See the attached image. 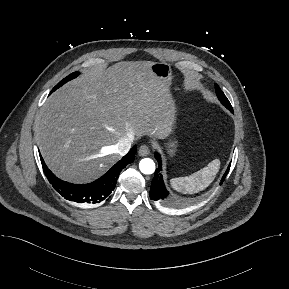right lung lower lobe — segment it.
Masks as SVG:
<instances>
[{
    "label": "right lung lower lobe",
    "instance_id": "obj_1",
    "mask_svg": "<svg viewBox=\"0 0 289 289\" xmlns=\"http://www.w3.org/2000/svg\"><path fill=\"white\" fill-rule=\"evenodd\" d=\"M136 150L135 145L106 174L88 184H72L60 180L48 169L41 155L40 159L47 179L61 196L76 203L96 204L106 199L114 190L122 169L134 161Z\"/></svg>",
    "mask_w": 289,
    "mask_h": 289
}]
</instances>
